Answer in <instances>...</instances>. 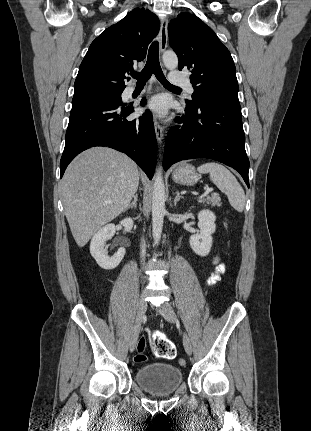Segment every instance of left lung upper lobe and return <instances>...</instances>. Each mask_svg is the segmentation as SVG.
Instances as JSON below:
<instances>
[{
    "label": "left lung upper lobe",
    "mask_w": 311,
    "mask_h": 431,
    "mask_svg": "<svg viewBox=\"0 0 311 431\" xmlns=\"http://www.w3.org/2000/svg\"><path fill=\"white\" fill-rule=\"evenodd\" d=\"M170 45L179 59V70H189L194 87L186 106L213 97L238 98L236 68L228 49L215 32L190 13H180L168 25Z\"/></svg>",
    "instance_id": "5c2ea615"
}]
</instances>
